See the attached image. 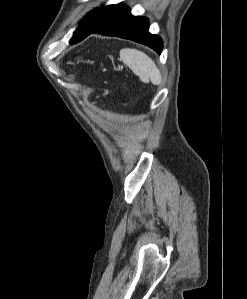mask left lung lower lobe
<instances>
[{
    "label": "left lung lower lobe",
    "mask_w": 247,
    "mask_h": 299,
    "mask_svg": "<svg viewBox=\"0 0 247 299\" xmlns=\"http://www.w3.org/2000/svg\"><path fill=\"white\" fill-rule=\"evenodd\" d=\"M149 22L145 17L133 16L126 6H121L114 14L104 20L100 25L86 33L78 43L91 33L117 36L144 44L158 54L162 52V39L149 33ZM74 44V43H73Z\"/></svg>",
    "instance_id": "obj_1"
}]
</instances>
